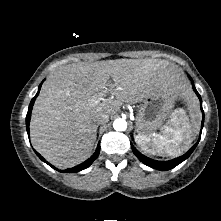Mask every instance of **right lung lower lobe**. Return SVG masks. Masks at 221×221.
<instances>
[{"instance_id": "1", "label": "right lung lower lobe", "mask_w": 221, "mask_h": 221, "mask_svg": "<svg viewBox=\"0 0 221 221\" xmlns=\"http://www.w3.org/2000/svg\"><path fill=\"white\" fill-rule=\"evenodd\" d=\"M40 88H41V84L39 86V90L36 94V96L39 94V91H40ZM34 101H35V98H33L30 102V105H29V108H28V112H27V115H26V129H27V133L29 135V122H30V118H31V111H32V108H33V105H34ZM35 153L37 154V156L44 162H46L49 166H51L52 168H54L55 170H58L57 168H55L54 166H52L50 163H48L38 152L35 151ZM100 153V145H98L95 153L88 159L86 160L85 162H83L82 164L78 165V166H75L73 168H69V169H66V170H59L60 172H79L83 169H86L87 167H89L93 161L98 157Z\"/></svg>"}]
</instances>
